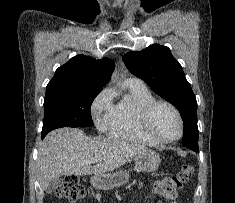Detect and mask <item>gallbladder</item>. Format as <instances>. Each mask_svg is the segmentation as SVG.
<instances>
[{
  "mask_svg": "<svg viewBox=\"0 0 235 203\" xmlns=\"http://www.w3.org/2000/svg\"><path fill=\"white\" fill-rule=\"evenodd\" d=\"M60 184L59 178L54 180L53 182L50 183V185L46 188L47 193H52Z\"/></svg>",
  "mask_w": 235,
  "mask_h": 203,
  "instance_id": "obj_1",
  "label": "gallbladder"
}]
</instances>
